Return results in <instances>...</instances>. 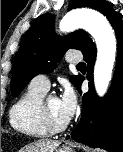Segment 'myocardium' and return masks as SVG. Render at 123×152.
Segmentation results:
<instances>
[{
  "instance_id": "obj_1",
  "label": "myocardium",
  "mask_w": 123,
  "mask_h": 152,
  "mask_svg": "<svg viewBox=\"0 0 123 152\" xmlns=\"http://www.w3.org/2000/svg\"><path fill=\"white\" fill-rule=\"evenodd\" d=\"M53 97L55 96L48 95V96H44L41 99L39 103V116L44 128L48 131V133L56 134V133H60L64 131L68 127L69 121L58 124L54 122V120L51 118L48 108H47V102L50 98H53Z\"/></svg>"
}]
</instances>
